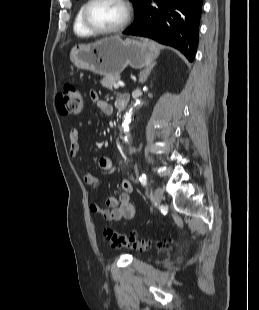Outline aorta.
<instances>
[{
  "label": "aorta",
  "mask_w": 259,
  "mask_h": 310,
  "mask_svg": "<svg viewBox=\"0 0 259 310\" xmlns=\"http://www.w3.org/2000/svg\"><path fill=\"white\" fill-rule=\"evenodd\" d=\"M141 104L140 100H136L133 105L130 107L128 112L125 115L124 122H123V131H124V141L126 143H129L130 141V135H129V124L131 122V116L134 112V110Z\"/></svg>",
  "instance_id": "762f6f07"
}]
</instances>
